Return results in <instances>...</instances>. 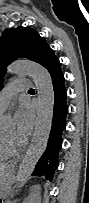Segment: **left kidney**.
Masks as SVG:
<instances>
[{"label": "left kidney", "instance_id": "5707ae66", "mask_svg": "<svg viewBox=\"0 0 89 203\" xmlns=\"http://www.w3.org/2000/svg\"><path fill=\"white\" fill-rule=\"evenodd\" d=\"M39 187V186H38ZM40 199H36L34 202H31V203H40L39 201ZM24 203H27V202H24Z\"/></svg>", "mask_w": 89, "mask_h": 203}]
</instances>
